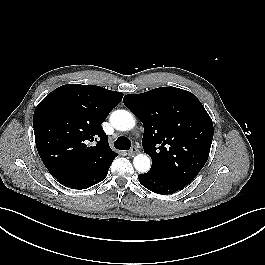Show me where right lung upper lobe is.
Masks as SVG:
<instances>
[{
  "instance_id": "cb5924a9",
  "label": "right lung upper lobe",
  "mask_w": 265,
  "mask_h": 265,
  "mask_svg": "<svg viewBox=\"0 0 265 265\" xmlns=\"http://www.w3.org/2000/svg\"><path fill=\"white\" fill-rule=\"evenodd\" d=\"M123 93L95 85L67 84L37 106L33 128L38 153L59 182L92 174L109 166L117 153L101 124Z\"/></svg>"
}]
</instances>
